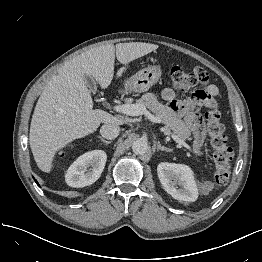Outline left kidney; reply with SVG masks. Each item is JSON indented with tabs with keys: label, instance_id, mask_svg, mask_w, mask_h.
<instances>
[{
	"label": "left kidney",
	"instance_id": "1",
	"mask_svg": "<svg viewBox=\"0 0 262 262\" xmlns=\"http://www.w3.org/2000/svg\"><path fill=\"white\" fill-rule=\"evenodd\" d=\"M158 177L164 190L174 199L194 202L198 198V188L192 170L182 164L160 163Z\"/></svg>",
	"mask_w": 262,
	"mask_h": 262
}]
</instances>
